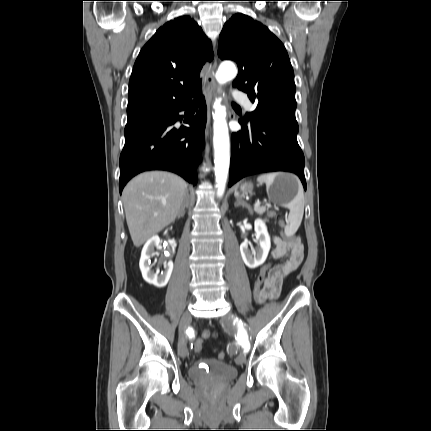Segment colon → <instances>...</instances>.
<instances>
[{
  "instance_id": "obj_1",
  "label": "colon",
  "mask_w": 431,
  "mask_h": 431,
  "mask_svg": "<svg viewBox=\"0 0 431 431\" xmlns=\"http://www.w3.org/2000/svg\"><path fill=\"white\" fill-rule=\"evenodd\" d=\"M272 216L276 218L277 224L280 227V237H284V227H285L284 219L282 217H279L276 213H272ZM293 239H296V238L294 237ZM268 268H272V263H265V265L260 266V272L257 274V277L254 278L253 280L251 297H252V300L254 301V304H258V300L260 299L259 295L263 288L265 278H266L265 273H267ZM213 335L214 333L212 331H210L209 329H204L201 333L202 337L200 336L193 337V344H195L194 351L196 353H200V351L203 348V345H202L203 339H208ZM225 357H226L225 353L219 354L220 359H224Z\"/></svg>"
}]
</instances>
